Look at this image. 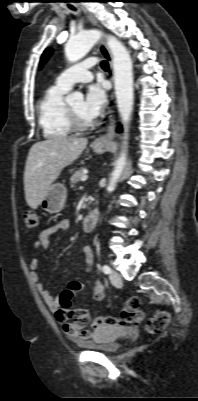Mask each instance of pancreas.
Wrapping results in <instances>:
<instances>
[{
  "instance_id": "1",
  "label": "pancreas",
  "mask_w": 198,
  "mask_h": 401,
  "mask_svg": "<svg viewBox=\"0 0 198 401\" xmlns=\"http://www.w3.org/2000/svg\"><path fill=\"white\" fill-rule=\"evenodd\" d=\"M84 170L85 168L82 167L72 175V177L70 178V186L72 188H74L75 185L81 180V177L84 176Z\"/></svg>"
}]
</instances>
